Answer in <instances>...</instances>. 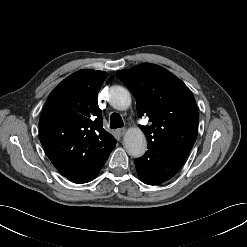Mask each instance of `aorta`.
I'll list each match as a JSON object with an SVG mask.
<instances>
[{"instance_id": "obj_1", "label": "aorta", "mask_w": 247, "mask_h": 247, "mask_svg": "<svg viewBox=\"0 0 247 247\" xmlns=\"http://www.w3.org/2000/svg\"><path fill=\"white\" fill-rule=\"evenodd\" d=\"M110 105L119 111L126 110L131 105V95L129 91L121 86H114L109 91ZM123 144L127 153L132 157H141L147 150V140L144 133L139 128L129 129L123 138Z\"/></svg>"}]
</instances>
